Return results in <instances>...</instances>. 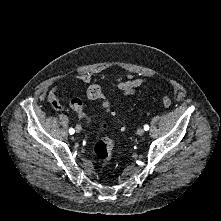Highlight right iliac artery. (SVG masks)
<instances>
[{"label": "right iliac artery", "instance_id": "1", "mask_svg": "<svg viewBox=\"0 0 221 221\" xmlns=\"http://www.w3.org/2000/svg\"><path fill=\"white\" fill-rule=\"evenodd\" d=\"M74 132H75V130L73 129V128H70L69 129V133L72 135V134H74Z\"/></svg>", "mask_w": 221, "mask_h": 221}]
</instances>
